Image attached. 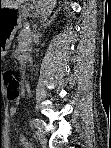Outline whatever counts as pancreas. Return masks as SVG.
Wrapping results in <instances>:
<instances>
[{"instance_id":"pancreas-1","label":"pancreas","mask_w":111,"mask_h":148,"mask_svg":"<svg viewBox=\"0 0 111 148\" xmlns=\"http://www.w3.org/2000/svg\"><path fill=\"white\" fill-rule=\"evenodd\" d=\"M30 33L28 31L22 30L20 31V43L23 44L24 42H30Z\"/></svg>"}]
</instances>
